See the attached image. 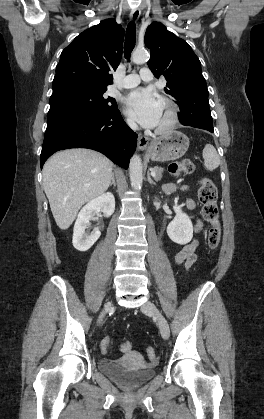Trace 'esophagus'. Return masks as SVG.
<instances>
[{"label": "esophagus", "mask_w": 264, "mask_h": 419, "mask_svg": "<svg viewBox=\"0 0 264 419\" xmlns=\"http://www.w3.org/2000/svg\"><path fill=\"white\" fill-rule=\"evenodd\" d=\"M140 17V10L139 9H134L131 11L130 13V20L132 22H137L138 19ZM148 144V139L147 137L143 136V135H139L138 136V143H137V148L138 150L142 151L145 150Z\"/></svg>", "instance_id": "obj_1"}]
</instances>
